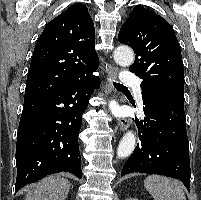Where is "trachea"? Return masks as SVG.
Here are the masks:
<instances>
[{"instance_id":"trachea-1","label":"trachea","mask_w":201,"mask_h":200,"mask_svg":"<svg viewBox=\"0 0 201 200\" xmlns=\"http://www.w3.org/2000/svg\"><path fill=\"white\" fill-rule=\"evenodd\" d=\"M113 85H114L117 89H127V87H125L123 84H120V83L113 82Z\"/></svg>"}]
</instances>
